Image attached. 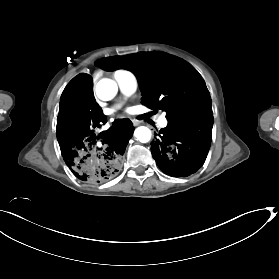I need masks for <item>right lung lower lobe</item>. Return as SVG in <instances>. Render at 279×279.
<instances>
[{
	"label": "right lung lower lobe",
	"mask_w": 279,
	"mask_h": 279,
	"mask_svg": "<svg viewBox=\"0 0 279 279\" xmlns=\"http://www.w3.org/2000/svg\"><path fill=\"white\" fill-rule=\"evenodd\" d=\"M106 122L95 102L91 76L77 75L61 95L57 139L66 165L78 179L90 184L103 183L117 175L133 135V124L127 118L115 120L106 131L95 132Z\"/></svg>",
	"instance_id": "right-lung-lower-lobe-1"
}]
</instances>
